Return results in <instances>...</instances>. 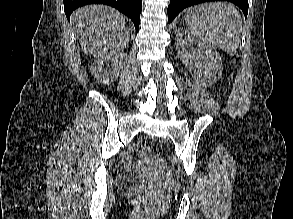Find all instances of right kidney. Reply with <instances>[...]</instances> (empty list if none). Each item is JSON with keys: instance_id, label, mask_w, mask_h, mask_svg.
Returning <instances> with one entry per match:
<instances>
[{"instance_id": "ca27d5eb", "label": "right kidney", "mask_w": 293, "mask_h": 219, "mask_svg": "<svg viewBox=\"0 0 293 219\" xmlns=\"http://www.w3.org/2000/svg\"><path fill=\"white\" fill-rule=\"evenodd\" d=\"M123 66V55H106L99 57L92 64L90 71L99 83H111L116 80L121 73Z\"/></svg>"}]
</instances>
